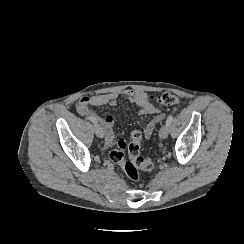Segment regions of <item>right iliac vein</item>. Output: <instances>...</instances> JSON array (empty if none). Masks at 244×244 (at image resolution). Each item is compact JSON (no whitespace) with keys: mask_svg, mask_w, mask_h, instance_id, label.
<instances>
[{"mask_svg":"<svg viewBox=\"0 0 244 244\" xmlns=\"http://www.w3.org/2000/svg\"><path fill=\"white\" fill-rule=\"evenodd\" d=\"M94 131H95V134L98 138H103L104 136V132H103V128L102 126L98 125V124H95L94 125Z\"/></svg>","mask_w":244,"mask_h":244,"instance_id":"63e3f726","label":"right iliac vein"}]
</instances>
